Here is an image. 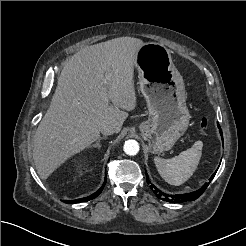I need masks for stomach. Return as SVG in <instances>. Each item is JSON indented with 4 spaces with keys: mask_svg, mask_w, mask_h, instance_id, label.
I'll use <instances>...</instances> for the list:
<instances>
[{
    "mask_svg": "<svg viewBox=\"0 0 246 246\" xmlns=\"http://www.w3.org/2000/svg\"><path fill=\"white\" fill-rule=\"evenodd\" d=\"M139 86L149 117L139 125L141 136L153 154L170 150L188 128L185 86L164 45L144 43L136 54Z\"/></svg>",
    "mask_w": 246,
    "mask_h": 246,
    "instance_id": "1",
    "label": "stomach"
}]
</instances>
